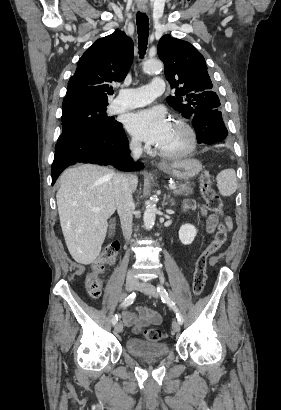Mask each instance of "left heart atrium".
Listing matches in <instances>:
<instances>
[{
  "label": "left heart atrium",
  "instance_id": "obj_1",
  "mask_svg": "<svg viewBox=\"0 0 281 410\" xmlns=\"http://www.w3.org/2000/svg\"><path fill=\"white\" fill-rule=\"evenodd\" d=\"M170 124L163 108L152 107L130 114L126 127L139 139L158 146L165 139Z\"/></svg>",
  "mask_w": 281,
  "mask_h": 410
}]
</instances>
